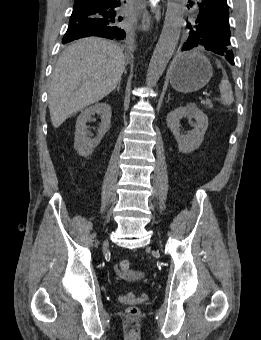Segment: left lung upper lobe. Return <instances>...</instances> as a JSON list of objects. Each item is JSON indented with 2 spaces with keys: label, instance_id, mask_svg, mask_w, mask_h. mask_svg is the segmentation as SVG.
I'll list each match as a JSON object with an SVG mask.
<instances>
[{
  "label": "left lung upper lobe",
  "instance_id": "left-lung-upper-lobe-1",
  "mask_svg": "<svg viewBox=\"0 0 261 340\" xmlns=\"http://www.w3.org/2000/svg\"><path fill=\"white\" fill-rule=\"evenodd\" d=\"M189 32L186 38L194 37L199 41L200 47L215 52L223 57L232 52L230 48V28L228 19L211 20L203 25L194 21L188 24Z\"/></svg>",
  "mask_w": 261,
  "mask_h": 340
}]
</instances>
